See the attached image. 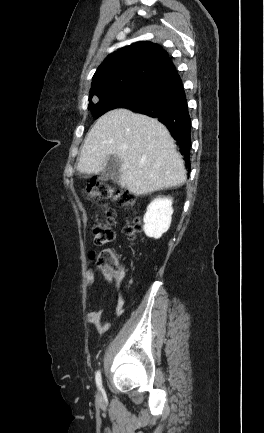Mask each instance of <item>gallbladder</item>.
I'll return each mask as SVG.
<instances>
[{
	"label": "gallbladder",
	"instance_id": "1",
	"mask_svg": "<svg viewBox=\"0 0 264 433\" xmlns=\"http://www.w3.org/2000/svg\"><path fill=\"white\" fill-rule=\"evenodd\" d=\"M120 177L119 159L116 156H111L105 163L104 169L101 172L100 179L102 181L112 180L118 182Z\"/></svg>",
	"mask_w": 264,
	"mask_h": 433
}]
</instances>
